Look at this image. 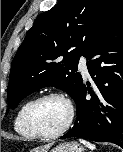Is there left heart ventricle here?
<instances>
[{
  "label": "left heart ventricle",
  "instance_id": "b2bd125f",
  "mask_svg": "<svg viewBox=\"0 0 123 152\" xmlns=\"http://www.w3.org/2000/svg\"><path fill=\"white\" fill-rule=\"evenodd\" d=\"M69 110L66 103L57 98H51L39 104L35 111L34 121L37 127L46 133L60 130L66 123Z\"/></svg>",
  "mask_w": 123,
  "mask_h": 152
}]
</instances>
